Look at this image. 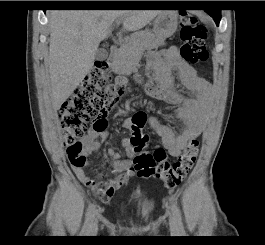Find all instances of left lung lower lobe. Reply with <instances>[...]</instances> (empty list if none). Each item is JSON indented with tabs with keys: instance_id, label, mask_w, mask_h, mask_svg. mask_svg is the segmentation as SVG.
I'll use <instances>...</instances> for the list:
<instances>
[{
	"instance_id": "obj_1",
	"label": "left lung lower lobe",
	"mask_w": 265,
	"mask_h": 245,
	"mask_svg": "<svg viewBox=\"0 0 265 245\" xmlns=\"http://www.w3.org/2000/svg\"><path fill=\"white\" fill-rule=\"evenodd\" d=\"M208 14H210L218 25L221 19V10L219 9H211L205 10Z\"/></svg>"
}]
</instances>
